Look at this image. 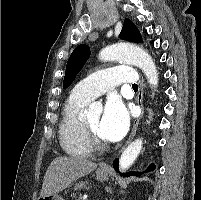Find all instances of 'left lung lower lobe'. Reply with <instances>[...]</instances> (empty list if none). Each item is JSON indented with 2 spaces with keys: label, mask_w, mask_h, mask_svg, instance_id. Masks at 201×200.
<instances>
[{
  "label": "left lung lower lobe",
  "mask_w": 201,
  "mask_h": 200,
  "mask_svg": "<svg viewBox=\"0 0 201 200\" xmlns=\"http://www.w3.org/2000/svg\"><path fill=\"white\" fill-rule=\"evenodd\" d=\"M118 164H119V159L114 160L113 167L117 172H119ZM154 168H155L154 164H151L148 167L147 171L154 170ZM122 175L125 177L131 176V175L139 176V175H141V173H139V172H127V173L122 174Z\"/></svg>",
  "instance_id": "0a47b994"
}]
</instances>
